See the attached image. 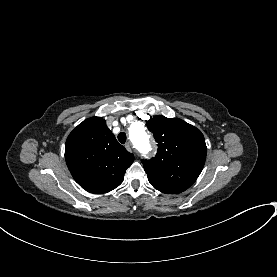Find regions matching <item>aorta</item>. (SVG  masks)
<instances>
[{"label": "aorta", "instance_id": "aorta-1", "mask_svg": "<svg viewBox=\"0 0 277 277\" xmlns=\"http://www.w3.org/2000/svg\"><path fill=\"white\" fill-rule=\"evenodd\" d=\"M129 138L140 152L149 151V139L141 122L136 121L130 126Z\"/></svg>", "mask_w": 277, "mask_h": 277}]
</instances>
